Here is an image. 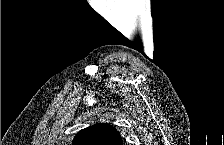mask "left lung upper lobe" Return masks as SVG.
Here are the masks:
<instances>
[{
	"label": "left lung upper lobe",
	"instance_id": "5c2ea615",
	"mask_svg": "<svg viewBox=\"0 0 224 145\" xmlns=\"http://www.w3.org/2000/svg\"><path fill=\"white\" fill-rule=\"evenodd\" d=\"M73 145H123L120 133L109 124H95L81 130Z\"/></svg>",
	"mask_w": 224,
	"mask_h": 145
}]
</instances>
